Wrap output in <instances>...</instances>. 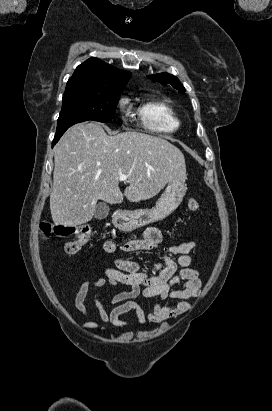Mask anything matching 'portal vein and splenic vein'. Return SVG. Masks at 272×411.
I'll return each mask as SVG.
<instances>
[{
	"instance_id": "obj_1",
	"label": "portal vein and splenic vein",
	"mask_w": 272,
	"mask_h": 411,
	"mask_svg": "<svg viewBox=\"0 0 272 411\" xmlns=\"http://www.w3.org/2000/svg\"><path fill=\"white\" fill-rule=\"evenodd\" d=\"M119 181H126L128 180V176L125 174H120L118 177Z\"/></svg>"
}]
</instances>
